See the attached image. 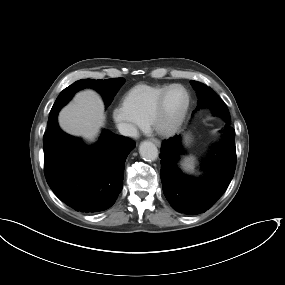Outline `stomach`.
I'll return each mask as SVG.
<instances>
[{
	"instance_id": "stomach-1",
	"label": "stomach",
	"mask_w": 285,
	"mask_h": 285,
	"mask_svg": "<svg viewBox=\"0 0 285 285\" xmlns=\"http://www.w3.org/2000/svg\"><path fill=\"white\" fill-rule=\"evenodd\" d=\"M191 141H192V136H191V134H189V133L185 134V136H184V142H185V144H186V145H189V144L191 143Z\"/></svg>"
}]
</instances>
